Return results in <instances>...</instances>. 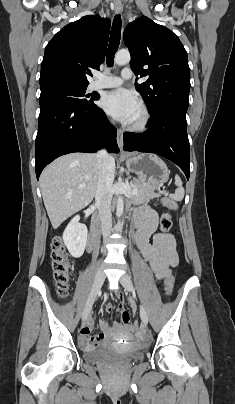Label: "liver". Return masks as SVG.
<instances>
[{"instance_id": "obj_1", "label": "liver", "mask_w": 235, "mask_h": 404, "mask_svg": "<svg viewBox=\"0 0 235 404\" xmlns=\"http://www.w3.org/2000/svg\"><path fill=\"white\" fill-rule=\"evenodd\" d=\"M98 173L97 155L85 153L61 156L43 170L40 188L54 229L92 202Z\"/></svg>"}]
</instances>
